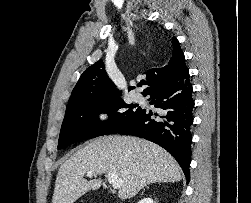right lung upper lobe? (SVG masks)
<instances>
[{"instance_id": "1", "label": "right lung upper lobe", "mask_w": 251, "mask_h": 203, "mask_svg": "<svg viewBox=\"0 0 251 203\" xmlns=\"http://www.w3.org/2000/svg\"><path fill=\"white\" fill-rule=\"evenodd\" d=\"M172 48V55L167 65L161 68L149 69L145 73L148 87L143 90V95L153 86L165 81L186 66L184 54L175 37L172 38ZM131 88L129 87V90ZM115 97H119L115 84L108 77L104 63L99 60L83 72L72 91L68 105Z\"/></svg>"}]
</instances>
